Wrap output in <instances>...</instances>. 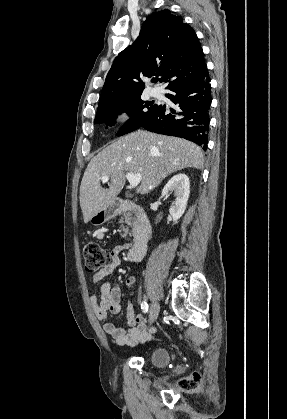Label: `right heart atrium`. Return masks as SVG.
Instances as JSON below:
<instances>
[{"label":"right heart atrium","mask_w":287,"mask_h":419,"mask_svg":"<svg viewBox=\"0 0 287 419\" xmlns=\"http://www.w3.org/2000/svg\"><path fill=\"white\" fill-rule=\"evenodd\" d=\"M129 119V115L125 111H118L116 114V121L119 123L126 122Z\"/></svg>","instance_id":"1"}]
</instances>
